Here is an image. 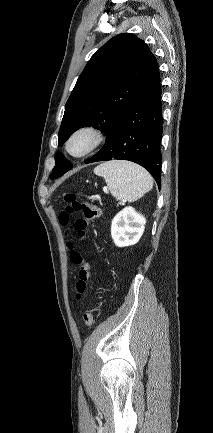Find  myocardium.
Listing matches in <instances>:
<instances>
[{
	"mask_svg": "<svg viewBox=\"0 0 213 433\" xmlns=\"http://www.w3.org/2000/svg\"><path fill=\"white\" fill-rule=\"evenodd\" d=\"M86 137L88 139L87 147L80 153H73L70 149L71 143L78 137ZM104 136L99 128L94 125L87 124L76 128L67 138L65 149L66 152L74 158H83L94 152L103 142Z\"/></svg>",
	"mask_w": 213,
	"mask_h": 433,
	"instance_id": "f54148a6",
	"label": "myocardium"
}]
</instances>
